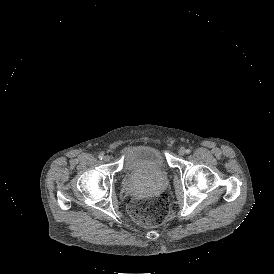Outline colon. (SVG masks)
Here are the masks:
<instances>
[{
    "instance_id": "5ec220e1",
    "label": "colon",
    "mask_w": 274,
    "mask_h": 274,
    "mask_svg": "<svg viewBox=\"0 0 274 274\" xmlns=\"http://www.w3.org/2000/svg\"><path fill=\"white\" fill-rule=\"evenodd\" d=\"M129 212L137 224L151 227L165 224L171 215L168 199L163 194L134 197Z\"/></svg>"
}]
</instances>
